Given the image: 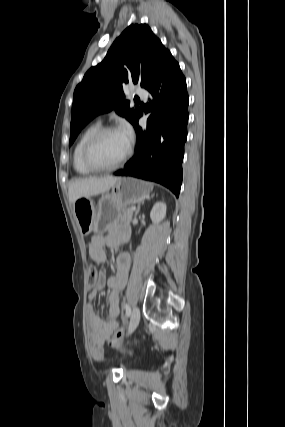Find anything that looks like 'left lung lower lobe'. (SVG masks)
<instances>
[{"label":"left lung lower lobe","instance_id":"obj_1","mask_svg":"<svg viewBox=\"0 0 285 427\" xmlns=\"http://www.w3.org/2000/svg\"><path fill=\"white\" fill-rule=\"evenodd\" d=\"M145 89L152 96L147 104L146 112H151L147 127L138 125L141 112L133 124L137 133L135 155L114 174L160 183L178 197L187 138L188 94L185 77L171 53Z\"/></svg>","mask_w":285,"mask_h":427}]
</instances>
